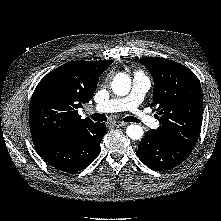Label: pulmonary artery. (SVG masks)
Instances as JSON below:
<instances>
[{"mask_svg":"<svg viewBox=\"0 0 221 221\" xmlns=\"http://www.w3.org/2000/svg\"><path fill=\"white\" fill-rule=\"evenodd\" d=\"M150 86V79L143 73H137L133 78L132 90L126 97L110 99L97 104L94 109L102 113L130 111L140 123L150 128H158L159 122L140 109Z\"/></svg>","mask_w":221,"mask_h":221,"instance_id":"e3ab8cb5","label":"pulmonary artery"}]
</instances>
